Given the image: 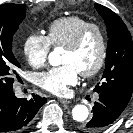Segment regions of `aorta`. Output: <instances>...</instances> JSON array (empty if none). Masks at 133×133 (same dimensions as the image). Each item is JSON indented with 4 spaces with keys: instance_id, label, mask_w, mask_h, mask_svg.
Segmentation results:
<instances>
[{
    "instance_id": "762f6f07",
    "label": "aorta",
    "mask_w": 133,
    "mask_h": 133,
    "mask_svg": "<svg viewBox=\"0 0 133 133\" xmlns=\"http://www.w3.org/2000/svg\"><path fill=\"white\" fill-rule=\"evenodd\" d=\"M49 62L52 66H58L61 62V57L58 50H54L49 54ZM89 110L85 105L78 104L72 109V117L76 122H85L88 118Z\"/></svg>"
}]
</instances>
